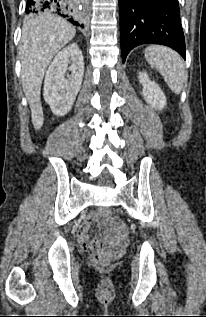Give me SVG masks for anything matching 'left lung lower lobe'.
<instances>
[{
	"instance_id": "left-lung-lower-lobe-1",
	"label": "left lung lower lobe",
	"mask_w": 206,
	"mask_h": 317,
	"mask_svg": "<svg viewBox=\"0 0 206 317\" xmlns=\"http://www.w3.org/2000/svg\"><path fill=\"white\" fill-rule=\"evenodd\" d=\"M122 61L141 44H162L185 59L178 0H119Z\"/></svg>"
}]
</instances>
